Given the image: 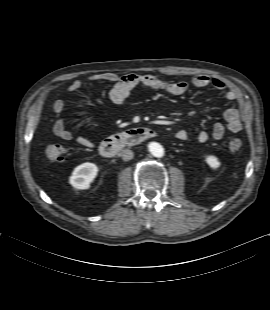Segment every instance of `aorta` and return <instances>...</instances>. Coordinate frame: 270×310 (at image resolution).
<instances>
[{"mask_svg":"<svg viewBox=\"0 0 270 310\" xmlns=\"http://www.w3.org/2000/svg\"><path fill=\"white\" fill-rule=\"evenodd\" d=\"M148 147L153 156L162 157L164 155V148L159 143L151 142Z\"/></svg>","mask_w":270,"mask_h":310,"instance_id":"1","label":"aorta"}]
</instances>
